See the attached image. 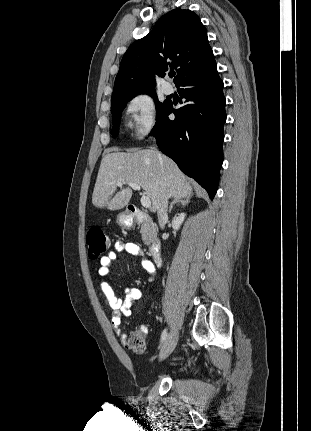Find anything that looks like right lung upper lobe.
Listing matches in <instances>:
<instances>
[{
  "instance_id": "cb5924a9",
  "label": "right lung upper lobe",
  "mask_w": 311,
  "mask_h": 431,
  "mask_svg": "<svg viewBox=\"0 0 311 431\" xmlns=\"http://www.w3.org/2000/svg\"><path fill=\"white\" fill-rule=\"evenodd\" d=\"M168 65L177 72V87L216 66L206 28L190 10L168 12L148 35L130 45L120 63L112 99L154 91L155 73L163 77Z\"/></svg>"
}]
</instances>
